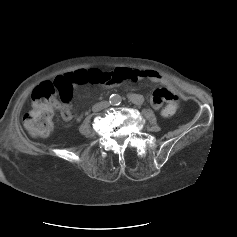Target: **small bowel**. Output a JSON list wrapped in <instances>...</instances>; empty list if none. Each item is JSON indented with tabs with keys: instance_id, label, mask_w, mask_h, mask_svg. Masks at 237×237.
<instances>
[{
	"instance_id": "small-bowel-1",
	"label": "small bowel",
	"mask_w": 237,
	"mask_h": 237,
	"mask_svg": "<svg viewBox=\"0 0 237 237\" xmlns=\"http://www.w3.org/2000/svg\"><path fill=\"white\" fill-rule=\"evenodd\" d=\"M109 80L102 85L105 87H114L126 80L138 81L141 79H149L150 81L161 84L163 88L156 89L151 97V105L154 109L159 110L164 103L177 104L176 88L164 76L151 70L117 68L113 71L107 72ZM133 103L139 104L142 102L143 97L138 93H132L129 96ZM56 107L61 111L62 117L65 120H71L73 117V109L67 105L60 103Z\"/></svg>"
}]
</instances>
